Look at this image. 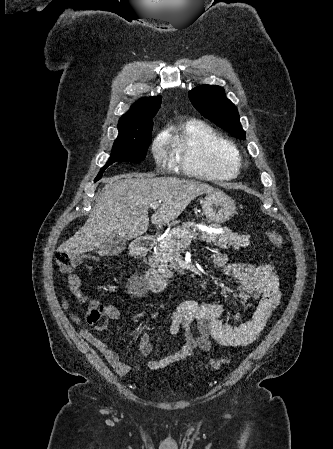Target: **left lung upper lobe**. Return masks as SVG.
I'll return each mask as SVG.
<instances>
[{"label":"left lung upper lobe","mask_w":333,"mask_h":449,"mask_svg":"<svg viewBox=\"0 0 333 449\" xmlns=\"http://www.w3.org/2000/svg\"><path fill=\"white\" fill-rule=\"evenodd\" d=\"M189 97L194 107L204 117L216 122L235 137L245 139L237 108L226 98L223 88L216 85H202L191 90Z\"/></svg>","instance_id":"left-lung-upper-lobe-1"}]
</instances>
